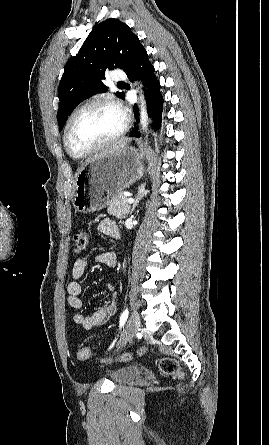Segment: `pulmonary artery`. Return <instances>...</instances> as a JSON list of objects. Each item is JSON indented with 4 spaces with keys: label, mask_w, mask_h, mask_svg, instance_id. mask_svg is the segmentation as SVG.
<instances>
[{
    "label": "pulmonary artery",
    "mask_w": 269,
    "mask_h": 445,
    "mask_svg": "<svg viewBox=\"0 0 269 445\" xmlns=\"http://www.w3.org/2000/svg\"><path fill=\"white\" fill-rule=\"evenodd\" d=\"M126 78V75L121 72V71H115L112 74V80L118 82V81H122Z\"/></svg>",
    "instance_id": "obj_1"
}]
</instances>
